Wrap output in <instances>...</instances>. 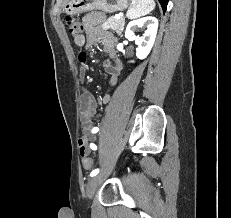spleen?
I'll return each mask as SVG.
<instances>
[{
  "instance_id": "3e777b00",
  "label": "spleen",
  "mask_w": 231,
  "mask_h": 218,
  "mask_svg": "<svg viewBox=\"0 0 231 218\" xmlns=\"http://www.w3.org/2000/svg\"><path fill=\"white\" fill-rule=\"evenodd\" d=\"M156 4L154 0H131V6L128 9L126 16L128 19L138 18L149 14L154 10Z\"/></svg>"
}]
</instances>
